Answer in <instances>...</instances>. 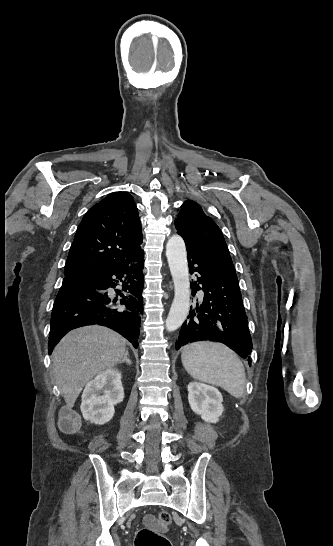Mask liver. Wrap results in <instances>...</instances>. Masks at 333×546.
<instances>
[{
	"label": "liver",
	"instance_id": "liver-1",
	"mask_svg": "<svg viewBox=\"0 0 333 546\" xmlns=\"http://www.w3.org/2000/svg\"><path fill=\"white\" fill-rule=\"evenodd\" d=\"M125 340L114 331L88 326L70 331L53 352V374L71 411L83 387L95 375L118 364Z\"/></svg>",
	"mask_w": 333,
	"mask_h": 546
}]
</instances>
